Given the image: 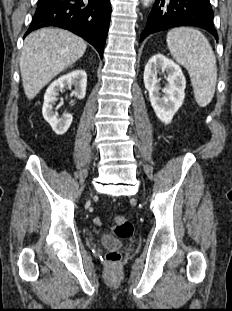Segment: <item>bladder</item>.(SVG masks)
<instances>
[{
  "mask_svg": "<svg viewBox=\"0 0 232 311\" xmlns=\"http://www.w3.org/2000/svg\"><path fill=\"white\" fill-rule=\"evenodd\" d=\"M101 244L106 247L119 248L121 247L122 242L118 237L105 234L101 237Z\"/></svg>",
  "mask_w": 232,
  "mask_h": 311,
  "instance_id": "31cf9c89",
  "label": "bladder"
}]
</instances>
